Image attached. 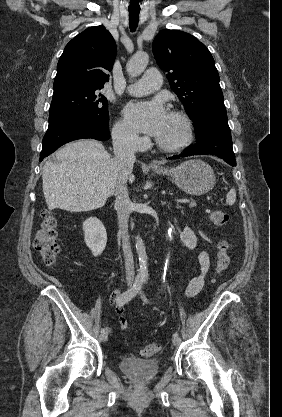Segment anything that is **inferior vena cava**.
I'll return each instance as SVG.
<instances>
[{
	"instance_id": "1",
	"label": "inferior vena cava",
	"mask_w": 282,
	"mask_h": 417,
	"mask_svg": "<svg viewBox=\"0 0 282 417\" xmlns=\"http://www.w3.org/2000/svg\"><path fill=\"white\" fill-rule=\"evenodd\" d=\"M114 162L118 168L117 186L115 188V209L118 217V235L121 237L124 255L126 281H134L135 267L132 249L129 243L128 221L131 213V200L129 198L126 178L131 174L136 144L125 130H112Z\"/></svg>"
}]
</instances>
